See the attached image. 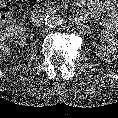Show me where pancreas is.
<instances>
[{
	"instance_id": "obj_1",
	"label": "pancreas",
	"mask_w": 118,
	"mask_h": 118,
	"mask_svg": "<svg viewBox=\"0 0 118 118\" xmlns=\"http://www.w3.org/2000/svg\"><path fill=\"white\" fill-rule=\"evenodd\" d=\"M47 7H48V9H50V10H56L55 7H51V6H47Z\"/></svg>"
}]
</instances>
